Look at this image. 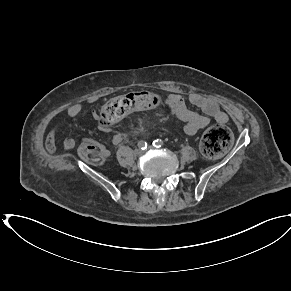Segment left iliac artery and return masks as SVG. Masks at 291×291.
<instances>
[{
	"mask_svg": "<svg viewBox=\"0 0 291 291\" xmlns=\"http://www.w3.org/2000/svg\"><path fill=\"white\" fill-rule=\"evenodd\" d=\"M163 145H164V142L161 139H156V140L153 141V146L154 147L159 148V147H161Z\"/></svg>",
	"mask_w": 291,
	"mask_h": 291,
	"instance_id": "obj_1",
	"label": "left iliac artery"
}]
</instances>
